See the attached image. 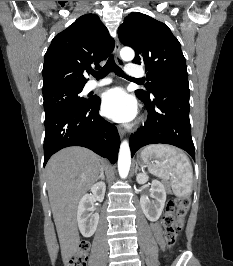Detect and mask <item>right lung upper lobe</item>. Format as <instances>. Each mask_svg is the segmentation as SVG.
<instances>
[{
    "mask_svg": "<svg viewBox=\"0 0 233 266\" xmlns=\"http://www.w3.org/2000/svg\"><path fill=\"white\" fill-rule=\"evenodd\" d=\"M114 49V41L99 17L86 14L51 42L42 70L43 94L83 88L88 79L83 75L87 68L105 60Z\"/></svg>",
    "mask_w": 233,
    "mask_h": 266,
    "instance_id": "obj_1",
    "label": "right lung upper lobe"
}]
</instances>
